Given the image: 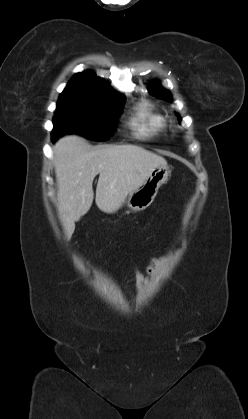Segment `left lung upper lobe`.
<instances>
[{"label": "left lung upper lobe", "instance_id": "5c2ea615", "mask_svg": "<svg viewBox=\"0 0 248 419\" xmlns=\"http://www.w3.org/2000/svg\"><path fill=\"white\" fill-rule=\"evenodd\" d=\"M149 92L158 97V98H162L165 99L167 101H172L171 98V94L169 93V91L165 90L164 88H162L159 84V82L154 81L153 83H151L150 88H149ZM176 115L178 116V120L180 121V117L179 115L176 113Z\"/></svg>", "mask_w": 248, "mask_h": 419}]
</instances>
